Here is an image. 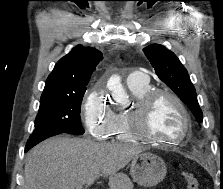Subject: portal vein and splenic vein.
<instances>
[{
  "label": "portal vein and splenic vein",
  "mask_w": 223,
  "mask_h": 189,
  "mask_svg": "<svg viewBox=\"0 0 223 189\" xmlns=\"http://www.w3.org/2000/svg\"><path fill=\"white\" fill-rule=\"evenodd\" d=\"M94 181H95V178H90L89 180H87L86 185L89 186V185H91Z\"/></svg>",
  "instance_id": "18ae733b"
}]
</instances>
